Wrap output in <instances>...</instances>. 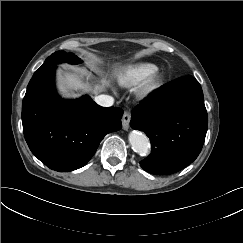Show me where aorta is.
Here are the masks:
<instances>
[{"mask_svg": "<svg viewBox=\"0 0 243 243\" xmlns=\"http://www.w3.org/2000/svg\"><path fill=\"white\" fill-rule=\"evenodd\" d=\"M129 142L132 149L141 156L148 154L150 142L148 137L140 131H132L129 134Z\"/></svg>", "mask_w": 243, "mask_h": 243, "instance_id": "aorta-1", "label": "aorta"}]
</instances>
